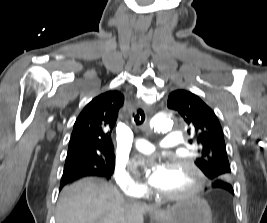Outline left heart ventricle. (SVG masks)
Here are the masks:
<instances>
[{"label": "left heart ventricle", "mask_w": 267, "mask_h": 223, "mask_svg": "<svg viewBox=\"0 0 267 223\" xmlns=\"http://www.w3.org/2000/svg\"><path fill=\"white\" fill-rule=\"evenodd\" d=\"M194 183L195 178L189 169L167 167V175L156 189L163 193H180L191 189Z\"/></svg>", "instance_id": "left-heart-ventricle-1"}]
</instances>
